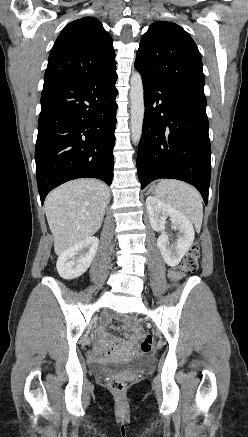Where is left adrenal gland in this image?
<instances>
[{
  "label": "left adrenal gland",
  "instance_id": "a2214340",
  "mask_svg": "<svg viewBox=\"0 0 248 437\" xmlns=\"http://www.w3.org/2000/svg\"><path fill=\"white\" fill-rule=\"evenodd\" d=\"M151 191H153V189H152V188H151V189H149L147 193H149V192H151Z\"/></svg>",
  "mask_w": 248,
  "mask_h": 437
}]
</instances>
